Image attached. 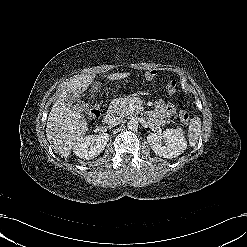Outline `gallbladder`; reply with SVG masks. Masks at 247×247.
Listing matches in <instances>:
<instances>
[{"mask_svg": "<svg viewBox=\"0 0 247 247\" xmlns=\"http://www.w3.org/2000/svg\"><path fill=\"white\" fill-rule=\"evenodd\" d=\"M65 102L69 105V107L75 109L76 111H79L80 113H84L87 111V105L83 102H80L76 99V97L69 93L67 97L65 98Z\"/></svg>", "mask_w": 247, "mask_h": 247, "instance_id": "obj_1", "label": "gallbladder"}]
</instances>
